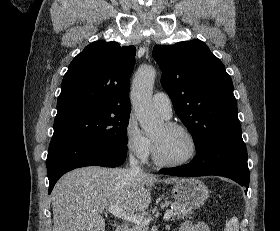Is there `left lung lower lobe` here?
<instances>
[{
    "instance_id": "1",
    "label": "left lung lower lobe",
    "mask_w": 280,
    "mask_h": 231,
    "mask_svg": "<svg viewBox=\"0 0 280 231\" xmlns=\"http://www.w3.org/2000/svg\"><path fill=\"white\" fill-rule=\"evenodd\" d=\"M197 156L186 165L161 169L166 175L197 177L217 175L230 178L241 186H249L247 150L241 133L221 136L196 147Z\"/></svg>"
}]
</instances>
